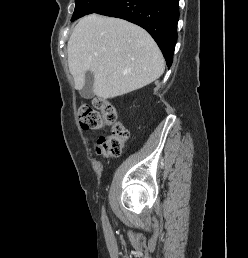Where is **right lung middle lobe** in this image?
<instances>
[{
  "instance_id": "obj_1",
  "label": "right lung middle lobe",
  "mask_w": 248,
  "mask_h": 258,
  "mask_svg": "<svg viewBox=\"0 0 248 258\" xmlns=\"http://www.w3.org/2000/svg\"><path fill=\"white\" fill-rule=\"evenodd\" d=\"M114 0H75L76 6L71 21L104 8Z\"/></svg>"
}]
</instances>
